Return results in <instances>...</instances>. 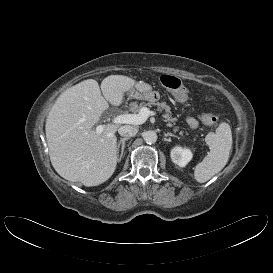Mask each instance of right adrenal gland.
Returning <instances> with one entry per match:
<instances>
[{"mask_svg":"<svg viewBox=\"0 0 273 273\" xmlns=\"http://www.w3.org/2000/svg\"><path fill=\"white\" fill-rule=\"evenodd\" d=\"M129 138H121L117 144V156H118V161H121L122 157L124 156V149H125V142ZM121 147V153L119 154V150Z\"/></svg>","mask_w":273,"mask_h":273,"instance_id":"obj_1","label":"right adrenal gland"}]
</instances>
